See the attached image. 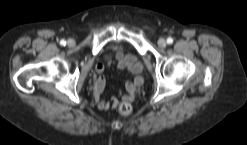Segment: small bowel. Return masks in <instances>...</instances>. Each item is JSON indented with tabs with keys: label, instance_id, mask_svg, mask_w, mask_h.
Here are the masks:
<instances>
[{
	"label": "small bowel",
	"instance_id": "1",
	"mask_svg": "<svg viewBox=\"0 0 247 145\" xmlns=\"http://www.w3.org/2000/svg\"><path fill=\"white\" fill-rule=\"evenodd\" d=\"M112 64L116 65L119 69L126 70L128 73L134 75V80L126 83L125 92H120V97L123 101L130 102L133 100L136 88L142 81L140 76L142 64L135 55L117 53L114 56H109L106 64H98L95 68L97 77L93 87V96L96 100L97 107L100 110L115 109L119 103L117 99L107 101L102 98V93L106 85V81L102 73L107 66Z\"/></svg>",
	"mask_w": 247,
	"mask_h": 145
}]
</instances>
